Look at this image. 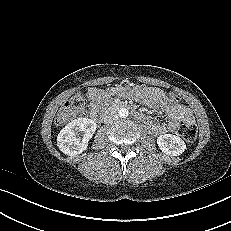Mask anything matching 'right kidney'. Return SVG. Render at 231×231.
Returning <instances> with one entry per match:
<instances>
[{
  "label": "right kidney",
  "instance_id": "right-kidney-1",
  "mask_svg": "<svg viewBox=\"0 0 231 231\" xmlns=\"http://www.w3.org/2000/svg\"><path fill=\"white\" fill-rule=\"evenodd\" d=\"M96 130V123L89 118H77L68 123L57 136V146L60 151L69 156L82 153L88 147V142ZM83 137H77L78 132Z\"/></svg>",
  "mask_w": 231,
  "mask_h": 231
}]
</instances>
